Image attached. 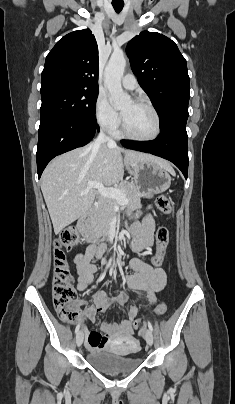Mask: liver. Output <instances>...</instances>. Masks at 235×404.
Masks as SVG:
<instances>
[{"mask_svg":"<svg viewBox=\"0 0 235 404\" xmlns=\"http://www.w3.org/2000/svg\"><path fill=\"white\" fill-rule=\"evenodd\" d=\"M143 160H154L172 171L166 160L110 144H101L93 150V143H90L53 159L42 174L41 190L55 234L90 209L96 190L88 187V182L111 186L121 180L125 167L129 169Z\"/></svg>","mask_w":235,"mask_h":404,"instance_id":"6515ba94","label":"liver"}]
</instances>
